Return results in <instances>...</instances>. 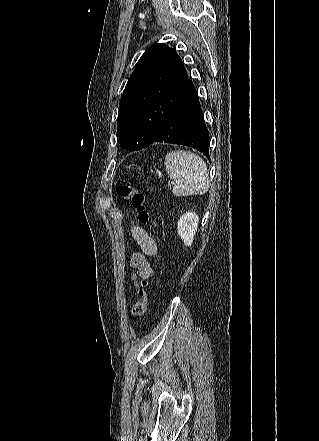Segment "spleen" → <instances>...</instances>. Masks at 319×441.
I'll list each match as a JSON object with an SVG mask.
<instances>
[{
  "label": "spleen",
  "instance_id": "spleen-1",
  "mask_svg": "<svg viewBox=\"0 0 319 441\" xmlns=\"http://www.w3.org/2000/svg\"><path fill=\"white\" fill-rule=\"evenodd\" d=\"M165 170L174 181L172 192L178 196L205 194L209 189L206 163L191 151L174 150L165 157Z\"/></svg>",
  "mask_w": 319,
  "mask_h": 441
}]
</instances>
